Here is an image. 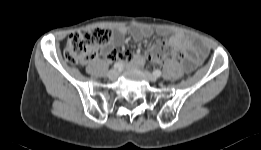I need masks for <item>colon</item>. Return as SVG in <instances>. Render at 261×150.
I'll return each instance as SVG.
<instances>
[{
    "label": "colon",
    "instance_id": "5ec220e1",
    "mask_svg": "<svg viewBox=\"0 0 261 150\" xmlns=\"http://www.w3.org/2000/svg\"><path fill=\"white\" fill-rule=\"evenodd\" d=\"M111 38V31L101 27L75 32L67 40L64 57L69 63L84 64L94 59ZM148 58L154 62H165L171 59L182 60L184 54L170 40L158 39L149 50Z\"/></svg>",
    "mask_w": 261,
    "mask_h": 150
}]
</instances>
